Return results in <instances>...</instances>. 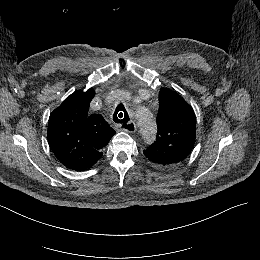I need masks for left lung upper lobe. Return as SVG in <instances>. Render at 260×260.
Listing matches in <instances>:
<instances>
[{
    "mask_svg": "<svg viewBox=\"0 0 260 260\" xmlns=\"http://www.w3.org/2000/svg\"><path fill=\"white\" fill-rule=\"evenodd\" d=\"M156 141L144 150L146 158L161 168L181 164L193 149L196 118L192 107L176 92L161 89Z\"/></svg>",
    "mask_w": 260,
    "mask_h": 260,
    "instance_id": "obj_1",
    "label": "left lung upper lobe"
}]
</instances>
